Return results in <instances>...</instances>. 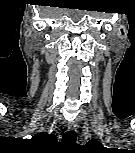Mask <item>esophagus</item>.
<instances>
[{
  "label": "esophagus",
  "mask_w": 135,
  "mask_h": 153,
  "mask_svg": "<svg viewBox=\"0 0 135 153\" xmlns=\"http://www.w3.org/2000/svg\"><path fill=\"white\" fill-rule=\"evenodd\" d=\"M77 127H78V125H77L76 122H70V123L68 124V129H69V130H77Z\"/></svg>",
  "instance_id": "esophagus-1"
}]
</instances>
